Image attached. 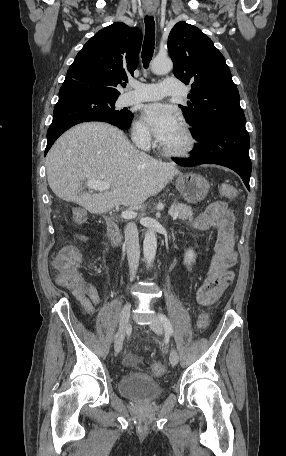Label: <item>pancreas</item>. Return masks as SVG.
<instances>
[{
    "instance_id": "obj_1",
    "label": "pancreas",
    "mask_w": 286,
    "mask_h": 456,
    "mask_svg": "<svg viewBox=\"0 0 286 456\" xmlns=\"http://www.w3.org/2000/svg\"><path fill=\"white\" fill-rule=\"evenodd\" d=\"M173 211L178 212V218L181 220L189 219L191 221L193 219L192 209L186 204L178 203L174 205Z\"/></svg>"
}]
</instances>
